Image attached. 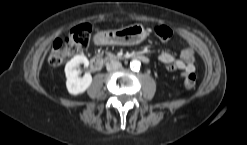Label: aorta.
<instances>
[{
  "label": "aorta",
  "mask_w": 247,
  "mask_h": 145,
  "mask_svg": "<svg viewBox=\"0 0 247 145\" xmlns=\"http://www.w3.org/2000/svg\"><path fill=\"white\" fill-rule=\"evenodd\" d=\"M141 63L139 60H132L130 62L131 70L138 71L140 69Z\"/></svg>",
  "instance_id": "762f6f07"
}]
</instances>
